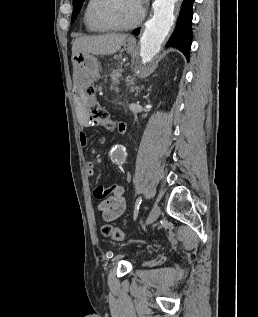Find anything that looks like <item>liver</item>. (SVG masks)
Here are the masks:
<instances>
[{"instance_id":"obj_1","label":"liver","mask_w":258,"mask_h":317,"mask_svg":"<svg viewBox=\"0 0 258 317\" xmlns=\"http://www.w3.org/2000/svg\"><path fill=\"white\" fill-rule=\"evenodd\" d=\"M128 34H93V36H78L73 40L72 56L76 52H91V54H114L121 48Z\"/></svg>"}]
</instances>
